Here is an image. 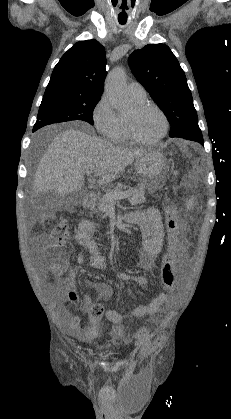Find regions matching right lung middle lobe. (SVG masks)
<instances>
[{
  "mask_svg": "<svg viewBox=\"0 0 231 419\" xmlns=\"http://www.w3.org/2000/svg\"><path fill=\"white\" fill-rule=\"evenodd\" d=\"M101 95L80 94L67 88H48L33 131L56 122L83 120L93 124V110Z\"/></svg>",
  "mask_w": 231,
  "mask_h": 419,
  "instance_id": "dd1d6c3e",
  "label": "right lung middle lobe"
}]
</instances>
